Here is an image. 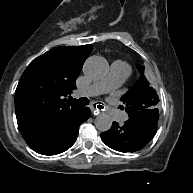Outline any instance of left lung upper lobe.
I'll return each instance as SVG.
<instances>
[{"label":"left lung upper lobe","mask_w":193,"mask_h":193,"mask_svg":"<svg viewBox=\"0 0 193 193\" xmlns=\"http://www.w3.org/2000/svg\"><path fill=\"white\" fill-rule=\"evenodd\" d=\"M141 77L122 98L121 101L126 104V112L129 116L146 110L147 113L158 112L159 98L156 91L150 86L144 75V67L137 65Z\"/></svg>","instance_id":"5c2ea615"}]
</instances>
